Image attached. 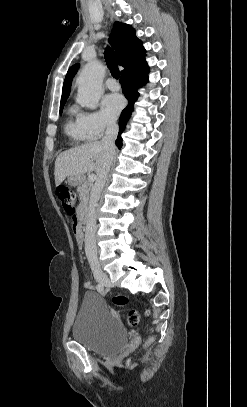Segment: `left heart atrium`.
<instances>
[{
    "label": "left heart atrium",
    "mask_w": 247,
    "mask_h": 407,
    "mask_svg": "<svg viewBox=\"0 0 247 407\" xmlns=\"http://www.w3.org/2000/svg\"><path fill=\"white\" fill-rule=\"evenodd\" d=\"M102 106L106 115L115 119L124 107V99L119 94H108L103 98Z\"/></svg>",
    "instance_id": "left-heart-atrium-1"
}]
</instances>
